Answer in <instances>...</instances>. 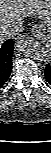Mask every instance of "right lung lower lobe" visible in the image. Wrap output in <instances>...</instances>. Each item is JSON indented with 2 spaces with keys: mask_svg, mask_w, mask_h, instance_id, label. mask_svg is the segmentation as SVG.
I'll use <instances>...</instances> for the list:
<instances>
[{
  "mask_svg": "<svg viewBox=\"0 0 51 153\" xmlns=\"http://www.w3.org/2000/svg\"><path fill=\"white\" fill-rule=\"evenodd\" d=\"M14 39L2 43L0 41V87L7 82L12 71V54Z\"/></svg>",
  "mask_w": 51,
  "mask_h": 153,
  "instance_id": "1",
  "label": "right lung lower lobe"
}]
</instances>
